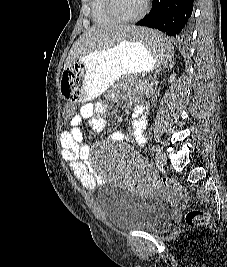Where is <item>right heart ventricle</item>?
<instances>
[{"mask_svg": "<svg viewBox=\"0 0 227 267\" xmlns=\"http://www.w3.org/2000/svg\"><path fill=\"white\" fill-rule=\"evenodd\" d=\"M92 17L95 23L99 25H113L117 21L114 20L107 12L105 0H90Z\"/></svg>", "mask_w": 227, "mask_h": 267, "instance_id": "1", "label": "right heart ventricle"}]
</instances>
